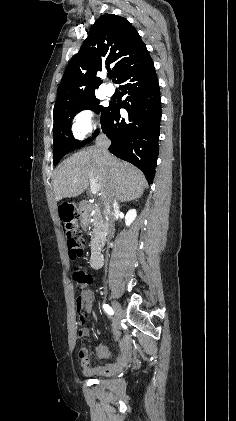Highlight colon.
Instances as JSON below:
<instances>
[{
    "label": "colon",
    "mask_w": 236,
    "mask_h": 421,
    "mask_svg": "<svg viewBox=\"0 0 236 421\" xmlns=\"http://www.w3.org/2000/svg\"><path fill=\"white\" fill-rule=\"evenodd\" d=\"M71 212L68 207L63 210L64 230L67 237V247L69 256L73 259L82 255L83 239L77 222L70 216ZM73 281L75 287L83 294L92 283V276L81 266L73 271ZM81 308V307H79ZM83 321V316H81ZM85 349L80 348L78 355L83 356Z\"/></svg>",
    "instance_id": "1"
}]
</instances>
